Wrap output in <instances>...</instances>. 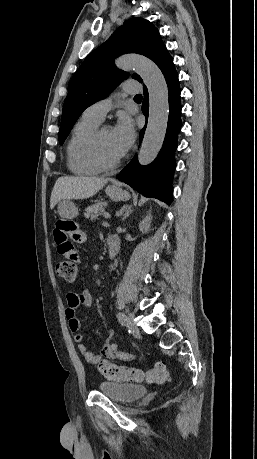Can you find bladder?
I'll use <instances>...</instances> for the list:
<instances>
[{
    "label": "bladder",
    "instance_id": "bladder-1",
    "mask_svg": "<svg viewBox=\"0 0 257 459\" xmlns=\"http://www.w3.org/2000/svg\"><path fill=\"white\" fill-rule=\"evenodd\" d=\"M98 390L120 403H131L147 394V388L143 385L111 381L100 382Z\"/></svg>",
    "mask_w": 257,
    "mask_h": 459
}]
</instances>
